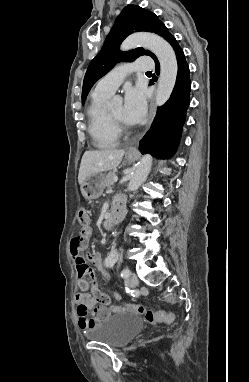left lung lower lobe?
I'll use <instances>...</instances> for the list:
<instances>
[{
    "instance_id": "1",
    "label": "left lung lower lobe",
    "mask_w": 249,
    "mask_h": 382,
    "mask_svg": "<svg viewBox=\"0 0 249 382\" xmlns=\"http://www.w3.org/2000/svg\"><path fill=\"white\" fill-rule=\"evenodd\" d=\"M169 43L175 51L178 63L175 87L169 100L157 109L150 130L139 144L142 153H150L159 158H170L176 150L189 106L191 90L189 67L183 50L174 37ZM155 63L156 73L159 74L160 68L157 59Z\"/></svg>"
}]
</instances>
